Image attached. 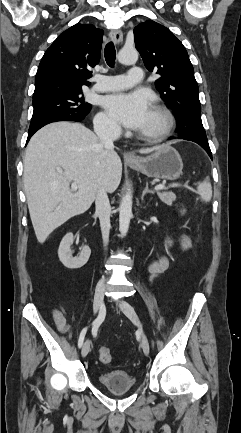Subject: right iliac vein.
<instances>
[{
	"instance_id": "1",
	"label": "right iliac vein",
	"mask_w": 241,
	"mask_h": 433,
	"mask_svg": "<svg viewBox=\"0 0 241 433\" xmlns=\"http://www.w3.org/2000/svg\"><path fill=\"white\" fill-rule=\"evenodd\" d=\"M104 291H105V284L103 282H99L96 286L95 295H94V304H93L94 313H97L103 304ZM89 351H90V342L89 340H86L85 343L83 344L82 351H81L82 357H86Z\"/></svg>"
}]
</instances>
